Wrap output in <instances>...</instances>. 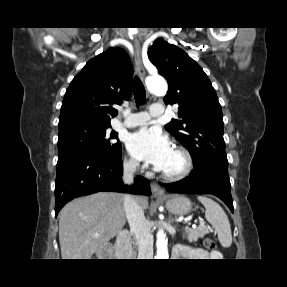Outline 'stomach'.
Wrapping results in <instances>:
<instances>
[{
    "mask_svg": "<svg viewBox=\"0 0 287 287\" xmlns=\"http://www.w3.org/2000/svg\"><path fill=\"white\" fill-rule=\"evenodd\" d=\"M166 208L175 215H185L192 210L191 201L180 195L166 196Z\"/></svg>",
    "mask_w": 287,
    "mask_h": 287,
    "instance_id": "stomach-1",
    "label": "stomach"
}]
</instances>
